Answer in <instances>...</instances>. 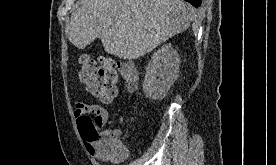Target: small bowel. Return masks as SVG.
Returning a JSON list of instances; mask_svg holds the SVG:
<instances>
[{
    "label": "small bowel",
    "instance_id": "c3829d8e",
    "mask_svg": "<svg viewBox=\"0 0 276 165\" xmlns=\"http://www.w3.org/2000/svg\"><path fill=\"white\" fill-rule=\"evenodd\" d=\"M90 114L95 116L94 120L97 121L101 126H103L108 120V112L103 106L95 103H88V102H78L76 104L75 110H74V116L77 122L80 120L81 117L89 116ZM111 133L115 136V138L119 143V146L122 150L121 154H115L109 151L106 148V146L102 143L95 144L92 146L86 145V148L89 151V153H91L101 161H117V160H123L124 158H126L127 149L120 140L121 131L114 130Z\"/></svg>",
    "mask_w": 276,
    "mask_h": 165
}]
</instances>
